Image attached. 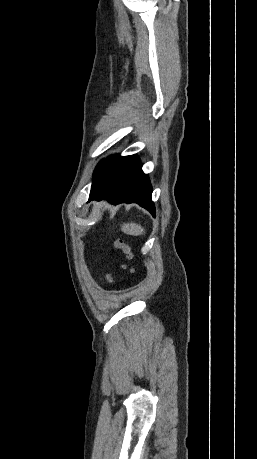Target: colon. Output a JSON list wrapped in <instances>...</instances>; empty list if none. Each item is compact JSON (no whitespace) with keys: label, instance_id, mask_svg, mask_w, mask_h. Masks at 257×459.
<instances>
[{"label":"colon","instance_id":"obj_1","mask_svg":"<svg viewBox=\"0 0 257 459\" xmlns=\"http://www.w3.org/2000/svg\"><path fill=\"white\" fill-rule=\"evenodd\" d=\"M118 245L124 250V252L127 254L128 257H131V253L128 247H126L121 241L118 242Z\"/></svg>","mask_w":257,"mask_h":459}]
</instances>
